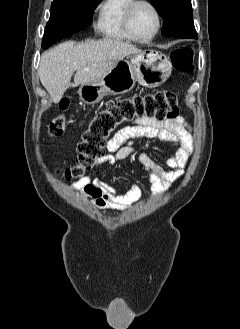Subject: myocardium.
Wrapping results in <instances>:
<instances>
[{
	"label": "myocardium",
	"instance_id": "obj_1",
	"mask_svg": "<svg viewBox=\"0 0 240 329\" xmlns=\"http://www.w3.org/2000/svg\"><path fill=\"white\" fill-rule=\"evenodd\" d=\"M140 5L148 6L153 11L155 18H156V28H155L154 32L148 37L137 36L134 33L132 26H131L133 13H134L135 9ZM161 27H162L161 13H160L159 9L157 8V6L154 3H152L150 0H133L132 3L128 6L125 16H124V29H125V32L127 33V35L132 40L138 41V42L151 41L158 35V33L161 30Z\"/></svg>",
	"mask_w": 240,
	"mask_h": 329
}]
</instances>
